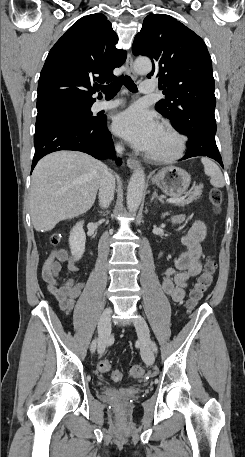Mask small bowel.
<instances>
[{"mask_svg": "<svg viewBox=\"0 0 245 457\" xmlns=\"http://www.w3.org/2000/svg\"><path fill=\"white\" fill-rule=\"evenodd\" d=\"M183 220V216L173 218L175 223H180ZM205 235L206 226L204 222L194 221L188 233L181 238V244L186 248V251L176 258L173 266H168L163 271L162 289L168 298L175 302L183 300L188 281L202 270L200 262L201 243ZM63 263L67 264L69 271H79L74 257L64 249H57L43 262L42 278L47 284L48 292L58 301L59 309L63 313L69 314L84 287V282L74 278L58 281ZM78 334L82 337L80 329Z\"/></svg>", "mask_w": 245, "mask_h": 457, "instance_id": "1", "label": "small bowel"}]
</instances>
